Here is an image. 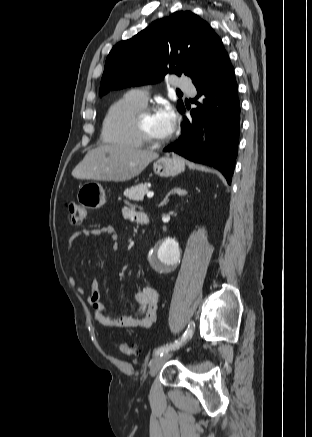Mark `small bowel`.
<instances>
[{
  "label": "small bowel",
  "mask_w": 312,
  "mask_h": 437,
  "mask_svg": "<svg viewBox=\"0 0 312 437\" xmlns=\"http://www.w3.org/2000/svg\"><path fill=\"white\" fill-rule=\"evenodd\" d=\"M123 216L136 223H141L144 213L132 209H124ZM142 224V223H141ZM91 235H108L113 246L117 247L119 235L114 226L108 225L99 229H84L73 233L71 240L75 241L81 237ZM72 286H76V281L70 280ZM79 293H84L82 287H78ZM135 301L138 309L133 314L111 315L105 305L100 300V286L96 279L90 282V293L87 302L92 306L94 317L98 323L108 328H150L157 319L158 292L151 285H144L136 291Z\"/></svg>",
  "instance_id": "c3829d8e"
}]
</instances>
